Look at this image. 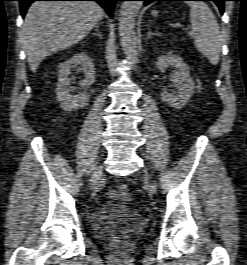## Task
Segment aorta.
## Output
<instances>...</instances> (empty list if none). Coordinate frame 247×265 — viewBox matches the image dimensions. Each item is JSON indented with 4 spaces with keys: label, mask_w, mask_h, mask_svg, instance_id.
<instances>
[{
    "label": "aorta",
    "mask_w": 247,
    "mask_h": 265,
    "mask_svg": "<svg viewBox=\"0 0 247 265\" xmlns=\"http://www.w3.org/2000/svg\"><path fill=\"white\" fill-rule=\"evenodd\" d=\"M141 6V1H124L121 5L119 15V33L121 45L126 59L132 66H134L138 61L135 19Z\"/></svg>",
    "instance_id": "1"
}]
</instances>
